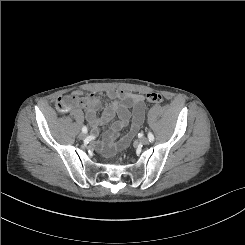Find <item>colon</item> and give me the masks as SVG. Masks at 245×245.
I'll return each mask as SVG.
<instances>
[{"label":"colon","instance_id":"obj_1","mask_svg":"<svg viewBox=\"0 0 245 245\" xmlns=\"http://www.w3.org/2000/svg\"><path fill=\"white\" fill-rule=\"evenodd\" d=\"M146 101L153 104L163 102V97L159 93L151 92L145 96ZM84 103V97L80 93H75L71 96H64L58 99L57 109L59 112H65L72 107L80 106Z\"/></svg>","mask_w":245,"mask_h":245}]
</instances>
